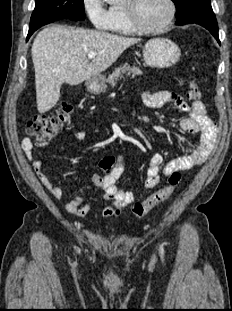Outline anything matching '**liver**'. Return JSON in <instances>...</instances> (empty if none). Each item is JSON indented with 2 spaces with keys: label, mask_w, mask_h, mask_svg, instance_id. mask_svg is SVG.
Instances as JSON below:
<instances>
[{
  "label": "liver",
  "mask_w": 232,
  "mask_h": 311,
  "mask_svg": "<svg viewBox=\"0 0 232 311\" xmlns=\"http://www.w3.org/2000/svg\"><path fill=\"white\" fill-rule=\"evenodd\" d=\"M139 41L138 38L60 25L40 31L31 49L39 113L56 105L64 82L78 85L98 76ZM90 52L97 55L89 63Z\"/></svg>",
  "instance_id": "obj_1"
}]
</instances>
